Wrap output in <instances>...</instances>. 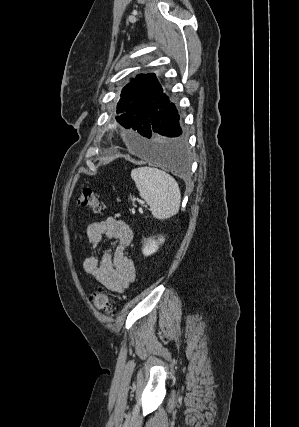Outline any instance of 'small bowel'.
Masks as SVG:
<instances>
[{
  "instance_id": "c3829d8e",
  "label": "small bowel",
  "mask_w": 299,
  "mask_h": 427,
  "mask_svg": "<svg viewBox=\"0 0 299 427\" xmlns=\"http://www.w3.org/2000/svg\"><path fill=\"white\" fill-rule=\"evenodd\" d=\"M87 237L93 248H97L103 238L110 240L115 248L102 255H91L84 260L83 267L106 289L122 294L135 280L134 261L126 254V247L133 240V231L123 220L113 216L104 221L94 222L87 228Z\"/></svg>"
}]
</instances>
